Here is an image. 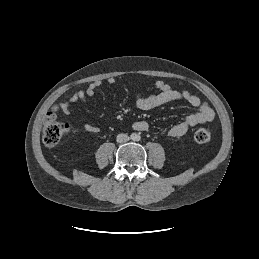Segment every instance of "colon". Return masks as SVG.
Instances as JSON below:
<instances>
[{
  "mask_svg": "<svg viewBox=\"0 0 259 259\" xmlns=\"http://www.w3.org/2000/svg\"><path fill=\"white\" fill-rule=\"evenodd\" d=\"M58 108L54 107L47 113L43 126V141L47 146L57 145L69 132L70 126L67 122L58 119ZM211 133L208 129L199 128L194 133L197 143H206L210 140Z\"/></svg>",
  "mask_w": 259,
  "mask_h": 259,
  "instance_id": "1",
  "label": "colon"
}]
</instances>
